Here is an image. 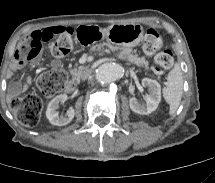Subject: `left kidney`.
I'll use <instances>...</instances> for the list:
<instances>
[{
  "mask_svg": "<svg viewBox=\"0 0 215 183\" xmlns=\"http://www.w3.org/2000/svg\"><path fill=\"white\" fill-rule=\"evenodd\" d=\"M142 86L148 87L149 95L146 96V106L139 104L135 97L130 98L129 106L135 113L148 115L155 111L161 101V86L156 80L144 78Z\"/></svg>",
  "mask_w": 215,
  "mask_h": 183,
  "instance_id": "5707ae66",
  "label": "left kidney"
}]
</instances>
